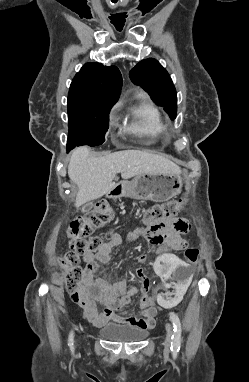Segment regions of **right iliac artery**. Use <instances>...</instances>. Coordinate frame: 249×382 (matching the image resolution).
I'll return each mask as SVG.
<instances>
[{
	"instance_id": "1",
	"label": "right iliac artery",
	"mask_w": 249,
	"mask_h": 382,
	"mask_svg": "<svg viewBox=\"0 0 249 382\" xmlns=\"http://www.w3.org/2000/svg\"><path fill=\"white\" fill-rule=\"evenodd\" d=\"M69 345H70V346L73 345V337H72V333H71L70 336H69Z\"/></svg>"
}]
</instances>
